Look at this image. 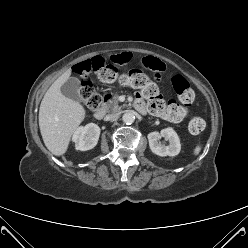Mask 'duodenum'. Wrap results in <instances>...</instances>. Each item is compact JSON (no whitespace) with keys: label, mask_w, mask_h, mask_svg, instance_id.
Segmentation results:
<instances>
[{"label":"duodenum","mask_w":248,"mask_h":248,"mask_svg":"<svg viewBox=\"0 0 248 248\" xmlns=\"http://www.w3.org/2000/svg\"><path fill=\"white\" fill-rule=\"evenodd\" d=\"M109 97H110L109 95H106V96L103 97V100H104V101H107ZM134 105H135L136 109H138V110L141 109V104H140V103L135 102ZM105 111H106V110H105V105L103 104L100 108H98V109L94 112V117H95L96 119H102V118L104 117V115H105Z\"/></svg>","instance_id":"obj_1"}]
</instances>
